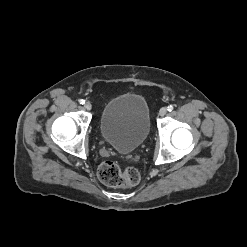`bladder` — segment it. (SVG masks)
<instances>
[{
    "instance_id": "1",
    "label": "bladder",
    "mask_w": 247,
    "mask_h": 247,
    "mask_svg": "<svg viewBox=\"0 0 247 247\" xmlns=\"http://www.w3.org/2000/svg\"><path fill=\"white\" fill-rule=\"evenodd\" d=\"M150 131L149 107L141 95L125 93L109 100L100 116L102 138L120 153H131Z\"/></svg>"
}]
</instances>
